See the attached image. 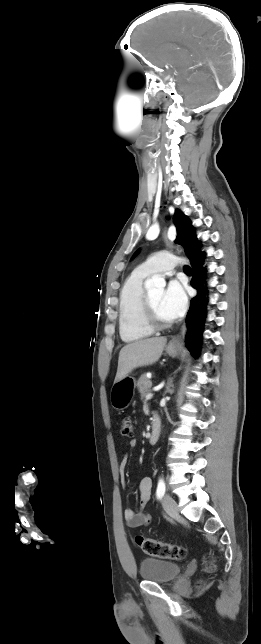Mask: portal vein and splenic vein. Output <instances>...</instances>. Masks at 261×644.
<instances>
[{
	"label": "portal vein and splenic vein",
	"mask_w": 261,
	"mask_h": 644,
	"mask_svg": "<svg viewBox=\"0 0 261 644\" xmlns=\"http://www.w3.org/2000/svg\"><path fill=\"white\" fill-rule=\"evenodd\" d=\"M152 397H153V394H152V393H148V394L145 396L146 400H149V399H151Z\"/></svg>",
	"instance_id": "18ae733b"
}]
</instances>
